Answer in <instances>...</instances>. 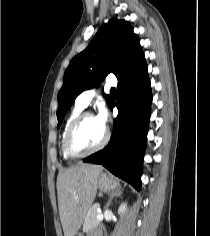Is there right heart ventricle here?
<instances>
[{"label":"right heart ventricle","mask_w":210,"mask_h":236,"mask_svg":"<svg viewBox=\"0 0 210 236\" xmlns=\"http://www.w3.org/2000/svg\"><path fill=\"white\" fill-rule=\"evenodd\" d=\"M83 108L78 106L77 104L75 105L74 109L72 110V112L70 113V115L68 116L65 124H64V127L62 129V132H61V140H60V147H61V152H62V155L64 157V159L66 160H70L72 159L71 157H69L66 152H65V149H64V139H65V134H66V131L70 125V123L73 121V119L79 115L81 112H82Z\"/></svg>","instance_id":"obj_1"}]
</instances>
